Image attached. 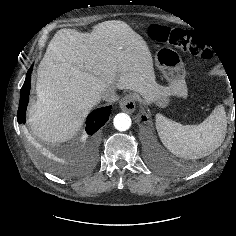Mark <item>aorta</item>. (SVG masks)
Here are the masks:
<instances>
[{
	"label": "aorta",
	"mask_w": 236,
	"mask_h": 236,
	"mask_svg": "<svg viewBox=\"0 0 236 236\" xmlns=\"http://www.w3.org/2000/svg\"><path fill=\"white\" fill-rule=\"evenodd\" d=\"M114 127L119 131H126L131 126V118L126 113H119L114 118Z\"/></svg>",
	"instance_id": "aorta-1"
}]
</instances>
